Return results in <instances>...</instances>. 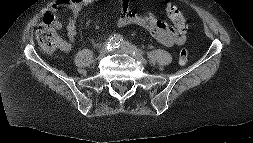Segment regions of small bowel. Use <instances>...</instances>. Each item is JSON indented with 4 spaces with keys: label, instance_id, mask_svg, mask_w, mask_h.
Here are the masks:
<instances>
[{
    "label": "small bowel",
    "instance_id": "1",
    "mask_svg": "<svg viewBox=\"0 0 253 143\" xmlns=\"http://www.w3.org/2000/svg\"><path fill=\"white\" fill-rule=\"evenodd\" d=\"M104 0H57L53 6V10L56 13V19L54 20V26L56 29L62 28L61 15L65 12H70L71 16L68 20L66 31L68 35L67 41H61L60 47L63 51H69L72 48V44L77 35V22L80 13L88 6L98 4ZM120 1V14L116 18V25L118 27H125L129 25H137L145 28L158 42L171 47L174 45H182L185 43V30H181L177 27L176 19L173 15L176 7L171 3L165 4V10L174 24V29H171L169 25L157 18L153 13L139 14L130 10V0ZM182 21L185 23V19L182 13L179 11Z\"/></svg>",
    "mask_w": 253,
    "mask_h": 143
}]
</instances>
